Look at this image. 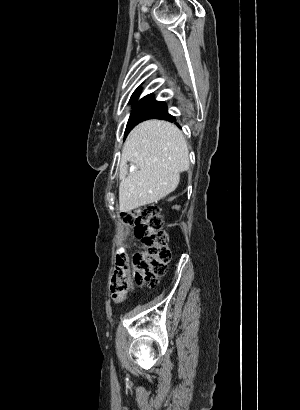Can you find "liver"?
<instances>
[{
  "instance_id": "1",
  "label": "liver",
  "mask_w": 300,
  "mask_h": 410,
  "mask_svg": "<svg viewBox=\"0 0 300 410\" xmlns=\"http://www.w3.org/2000/svg\"><path fill=\"white\" fill-rule=\"evenodd\" d=\"M187 142L172 123L147 120L128 135L120 164L119 208L130 212L157 203L173 192L189 169ZM139 170L127 175V162Z\"/></svg>"
}]
</instances>
